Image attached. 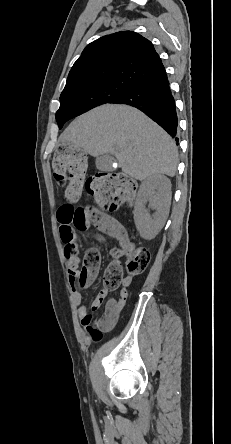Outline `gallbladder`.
I'll return each instance as SVG.
<instances>
[{
	"mask_svg": "<svg viewBox=\"0 0 231 444\" xmlns=\"http://www.w3.org/2000/svg\"><path fill=\"white\" fill-rule=\"evenodd\" d=\"M108 159H109V161H112L109 158V156H107V155H102V156L98 157L96 159V167H97V169H99V170H111L112 168L110 166H105L104 165V161L108 160Z\"/></svg>",
	"mask_w": 231,
	"mask_h": 444,
	"instance_id": "gallbladder-1",
	"label": "gallbladder"
}]
</instances>
